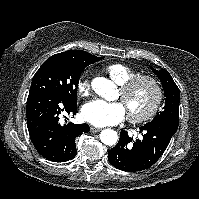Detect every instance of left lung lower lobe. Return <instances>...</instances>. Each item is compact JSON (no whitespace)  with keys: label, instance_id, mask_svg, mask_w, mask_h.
<instances>
[{"label":"left lung lower lobe","instance_id":"obj_1","mask_svg":"<svg viewBox=\"0 0 199 199\" xmlns=\"http://www.w3.org/2000/svg\"><path fill=\"white\" fill-rule=\"evenodd\" d=\"M177 128L167 123H147L140 127L143 138L136 141L122 130L118 144L108 152V160L123 171L145 170L158 161Z\"/></svg>","mask_w":199,"mask_h":199}]
</instances>
